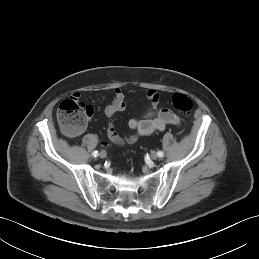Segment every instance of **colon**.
I'll use <instances>...</instances> for the list:
<instances>
[{"label": "colon", "instance_id": "colon-1", "mask_svg": "<svg viewBox=\"0 0 259 259\" xmlns=\"http://www.w3.org/2000/svg\"><path fill=\"white\" fill-rule=\"evenodd\" d=\"M173 107L183 115H188L192 108V100L183 93H176L172 98ZM92 109L77 97L70 96L60 102L57 108V120L63 131L69 135L80 133L87 124Z\"/></svg>", "mask_w": 259, "mask_h": 259}]
</instances>
